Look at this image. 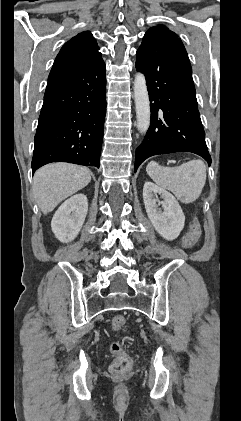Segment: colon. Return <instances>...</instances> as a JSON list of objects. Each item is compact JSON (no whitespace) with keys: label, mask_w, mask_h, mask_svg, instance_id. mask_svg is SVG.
Masks as SVG:
<instances>
[{"label":"colon","mask_w":241,"mask_h":421,"mask_svg":"<svg viewBox=\"0 0 241 421\" xmlns=\"http://www.w3.org/2000/svg\"><path fill=\"white\" fill-rule=\"evenodd\" d=\"M201 226L199 220L196 218L190 226L188 232L183 236L181 240L182 248L192 247L200 234ZM126 323V319L123 315H116L111 321V327L113 331H119L123 328ZM110 351L114 356V360L110 365V371L115 375H121L125 373L131 364L130 356L123 349L122 345L115 341L110 346Z\"/></svg>","instance_id":"colon-1"}]
</instances>
